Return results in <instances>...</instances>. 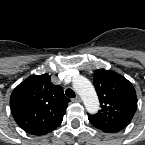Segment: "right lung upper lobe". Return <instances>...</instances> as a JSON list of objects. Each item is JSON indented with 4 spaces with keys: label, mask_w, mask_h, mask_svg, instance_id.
<instances>
[{
    "label": "right lung upper lobe",
    "mask_w": 145,
    "mask_h": 145,
    "mask_svg": "<svg viewBox=\"0 0 145 145\" xmlns=\"http://www.w3.org/2000/svg\"><path fill=\"white\" fill-rule=\"evenodd\" d=\"M69 101L48 74L31 75L13 90L10 108L25 132L45 135L61 124Z\"/></svg>",
    "instance_id": "obj_1"
}]
</instances>
